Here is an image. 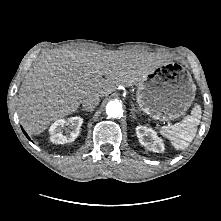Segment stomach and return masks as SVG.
<instances>
[{
    "label": "stomach",
    "instance_id": "0dacf381",
    "mask_svg": "<svg viewBox=\"0 0 221 221\" xmlns=\"http://www.w3.org/2000/svg\"><path fill=\"white\" fill-rule=\"evenodd\" d=\"M195 90L190 74L160 66L138 82L136 100L141 110L150 117L169 121L189 109Z\"/></svg>",
    "mask_w": 221,
    "mask_h": 221
}]
</instances>
